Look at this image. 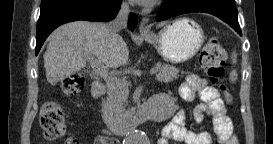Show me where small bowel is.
Wrapping results in <instances>:
<instances>
[{
    "label": "small bowel",
    "mask_w": 273,
    "mask_h": 144,
    "mask_svg": "<svg viewBox=\"0 0 273 144\" xmlns=\"http://www.w3.org/2000/svg\"><path fill=\"white\" fill-rule=\"evenodd\" d=\"M170 106L167 110V123L161 130L158 144H168L177 141L184 144H211L213 136L210 132H194L186 128V114L179 107V100L199 103L193 115L196 122L201 123L206 117L213 121L214 133L220 143L236 144L237 139L233 134L230 118L219 91L196 74H189L180 88L178 97H168ZM76 143L68 141V144ZM96 144L116 143L105 136H98Z\"/></svg>",
    "instance_id": "obj_1"
}]
</instances>
